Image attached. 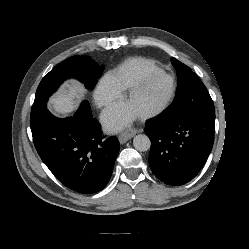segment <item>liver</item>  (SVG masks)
Returning a JSON list of instances; mask_svg holds the SVG:
<instances>
[{"mask_svg":"<svg viewBox=\"0 0 249 249\" xmlns=\"http://www.w3.org/2000/svg\"><path fill=\"white\" fill-rule=\"evenodd\" d=\"M83 90L75 84H67L64 89L55 94L51 100V109L61 115H68L75 111L80 104Z\"/></svg>","mask_w":249,"mask_h":249,"instance_id":"6515ba94","label":"liver"}]
</instances>
